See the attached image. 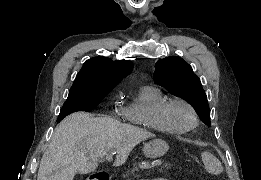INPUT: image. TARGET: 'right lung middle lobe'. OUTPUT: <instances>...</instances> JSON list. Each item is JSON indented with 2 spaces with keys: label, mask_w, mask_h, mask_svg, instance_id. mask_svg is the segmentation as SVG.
<instances>
[{
  "label": "right lung middle lobe",
  "mask_w": 261,
  "mask_h": 180,
  "mask_svg": "<svg viewBox=\"0 0 261 180\" xmlns=\"http://www.w3.org/2000/svg\"><path fill=\"white\" fill-rule=\"evenodd\" d=\"M107 94L70 91L66 102L62 106L57 123L70 113L93 110Z\"/></svg>",
  "instance_id": "right-lung-middle-lobe-1"
}]
</instances>
